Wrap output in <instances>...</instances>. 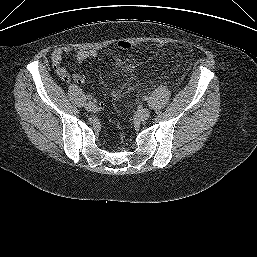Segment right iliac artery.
Instances as JSON below:
<instances>
[{"label":"right iliac artery","mask_w":257,"mask_h":257,"mask_svg":"<svg viewBox=\"0 0 257 257\" xmlns=\"http://www.w3.org/2000/svg\"><path fill=\"white\" fill-rule=\"evenodd\" d=\"M86 99H87V100H91V99H92V96L88 94V95H86Z\"/></svg>","instance_id":"82829eb1"}]
</instances>
